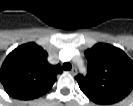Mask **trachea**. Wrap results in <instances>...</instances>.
<instances>
[{
    "label": "trachea",
    "instance_id": "3493384b",
    "mask_svg": "<svg viewBox=\"0 0 133 106\" xmlns=\"http://www.w3.org/2000/svg\"><path fill=\"white\" fill-rule=\"evenodd\" d=\"M72 66L70 63L66 62L63 64V69L64 70H71Z\"/></svg>",
    "mask_w": 133,
    "mask_h": 106
}]
</instances>
